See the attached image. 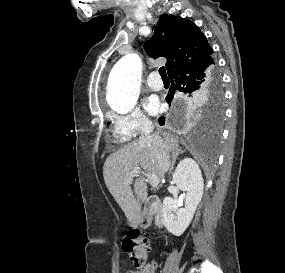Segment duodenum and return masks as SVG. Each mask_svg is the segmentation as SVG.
<instances>
[{
  "label": "duodenum",
  "instance_id": "1",
  "mask_svg": "<svg viewBox=\"0 0 285 273\" xmlns=\"http://www.w3.org/2000/svg\"><path fill=\"white\" fill-rule=\"evenodd\" d=\"M151 219H154L155 225L157 227L163 226L162 205L159 198L155 196H150L147 198L143 213L140 218V223L142 225H145Z\"/></svg>",
  "mask_w": 285,
  "mask_h": 273
}]
</instances>
